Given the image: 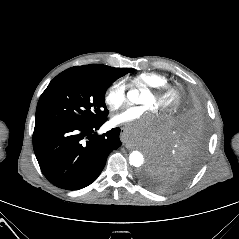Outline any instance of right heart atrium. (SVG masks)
<instances>
[{"label":"right heart atrium","mask_w":239,"mask_h":239,"mask_svg":"<svg viewBox=\"0 0 239 239\" xmlns=\"http://www.w3.org/2000/svg\"><path fill=\"white\" fill-rule=\"evenodd\" d=\"M127 84L123 80L111 83L105 91L104 102L111 110L119 109L126 101Z\"/></svg>","instance_id":"right-heart-atrium-1"}]
</instances>
